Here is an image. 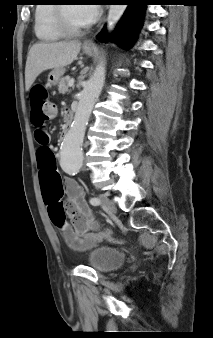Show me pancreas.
Masks as SVG:
<instances>
[{"label": "pancreas", "instance_id": "obj_1", "mask_svg": "<svg viewBox=\"0 0 213 338\" xmlns=\"http://www.w3.org/2000/svg\"><path fill=\"white\" fill-rule=\"evenodd\" d=\"M68 81L69 78L68 77H63L58 84V91L60 94H65L66 92L69 91L68 89Z\"/></svg>", "mask_w": 213, "mask_h": 338}]
</instances>
